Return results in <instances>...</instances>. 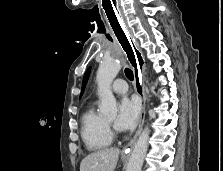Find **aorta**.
Instances as JSON below:
<instances>
[{"label":"aorta","instance_id":"obj_1","mask_svg":"<svg viewBox=\"0 0 223 171\" xmlns=\"http://www.w3.org/2000/svg\"><path fill=\"white\" fill-rule=\"evenodd\" d=\"M120 69L121 63L119 60L105 59L97 71L98 95L101 98L100 112L107 116L117 114V102L111 91V83ZM149 134L150 130L146 126L134 146L126 171H141L148 148Z\"/></svg>","mask_w":223,"mask_h":171}]
</instances>
